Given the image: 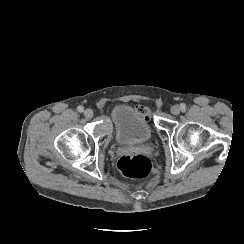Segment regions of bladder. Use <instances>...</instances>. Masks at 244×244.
<instances>
[{
	"label": "bladder",
	"instance_id": "31cf9c89",
	"mask_svg": "<svg viewBox=\"0 0 244 244\" xmlns=\"http://www.w3.org/2000/svg\"><path fill=\"white\" fill-rule=\"evenodd\" d=\"M114 136L120 145H141L151 140L152 128L146 118L127 105L114 108L112 114Z\"/></svg>",
	"mask_w": 244,
	"mask_h": 244
}]
</instances>
